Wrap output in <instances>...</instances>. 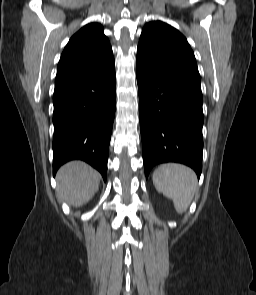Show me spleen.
Wrapping results in <instances>:
<instances>
[{
	"label": "spleen",
	"mask_w": 256,
	"mask_h": 295,
	"mask_svg": "<svg viewBox=\"0 0 256 295\" xmlns=\"http://www.w3.org/2000/svg\"><path fill=\"white\" fill-rule=\"evenodd\" d=\"M156 190L173 200L179 214L185 212L197 189L196 175L190 168L180 164H163L153 173Z\"/></svg>",
	"instance_id": "obj_1"
}]
</instances>
